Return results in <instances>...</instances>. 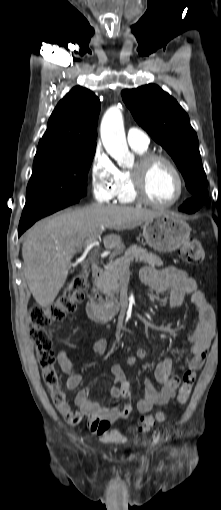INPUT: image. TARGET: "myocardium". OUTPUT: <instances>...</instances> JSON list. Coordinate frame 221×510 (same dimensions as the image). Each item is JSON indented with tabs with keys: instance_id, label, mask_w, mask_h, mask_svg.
<instances>
[{
	"instance_id": "myocardium-1",
	"label": "myocardium",
	"mask_w": 221,
	"mask_h": 510,
	"mask_svg": "<svg viewBox=\"0 0 221 510\" xmlns=\"http://www.w3.org/2000/svg\"><path fill=\"white\" fill-rule=\"evenodd\" d=\"M157 162H163L167 164L174 172L178 181V193L174 197V199L168 202L153 201L152 199L149 198L146 192L145 182L147 175L152 165H154ZM130 178L132 193L135 200L154 208H169L177 204L185 194L186 184L182 172L172 159L162 154L147 153L140 156L136 165L130 171Z\"/></svg>"
}]
</instances>
